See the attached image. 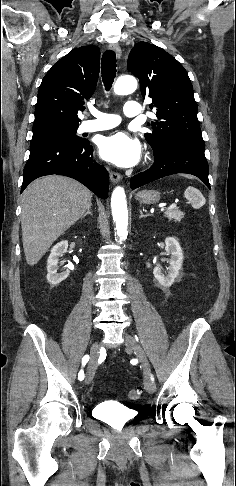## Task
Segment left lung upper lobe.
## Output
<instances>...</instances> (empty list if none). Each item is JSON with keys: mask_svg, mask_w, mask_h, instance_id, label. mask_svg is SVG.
Listing matches in <instances>:
<instances>
[{"mask_svg": "<svg viewBox=\"0 0 236 486\" xmlns=\"http://www.w3.org/2000/svg\"><path fill=\"white\" fill-rule=\"evenodd\" d=\"M127 69L139 78L143 98L150 97L158 120L145 138L153 150L175 141L205 147L193 87L185 68L162 48L146 42L135 44Z\"/></svg>", "mask_w": 236, "mask_h": 486, "instance_id": "left-lung-upper-lobe-1", "label": "left lung upper lobe"}]
</instances>
